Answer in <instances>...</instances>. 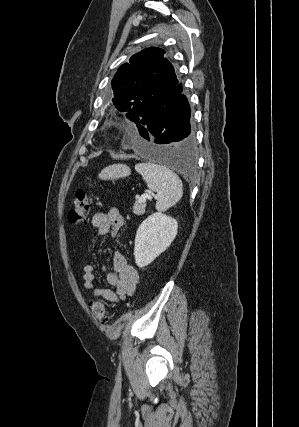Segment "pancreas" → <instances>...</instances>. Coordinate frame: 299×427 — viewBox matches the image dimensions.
<instances>
[{
  "mask_svg": "<svg viewBox=\"0 0 299 427\" xmlns=\"http://www.w3.org/2000/svg\"><path fill=\"white\" fill-rule=\"evenodd\" d=\"M145 208L146 203L138 199L133 205V213L136 215H142L145 213Z\"/></svg>",
  "mask_w": 299,
  "mask_h": 427,
  "instance_id": "pancreas-1",
  "label": "pancreas"
}]
</instances>
